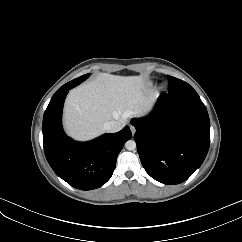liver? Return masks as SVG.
<instances>
[{
    "mask_svg": "<svg viewBox=\"0 0 242 242\" xmlns=\"http://www.w3.org/2000/svg\"><path fill=\"white\" fill-rule=\"evenodd\" d=\"M156 99L141 76L99 74L67 96L64 127L77 140H89L105 132L110 121L126 124L129 117L147 111Z\"/></svg>",
    "mask_w": 242,
    "mask_h": 242,
    "instance_id": "1",
    "label": "liver"
}]
</instances>
